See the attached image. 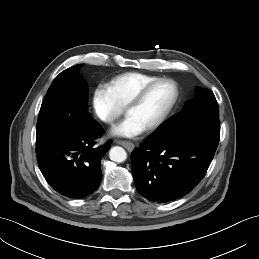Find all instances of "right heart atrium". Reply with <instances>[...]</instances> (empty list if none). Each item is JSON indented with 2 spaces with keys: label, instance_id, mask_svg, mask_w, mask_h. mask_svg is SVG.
Listing matches in <instances>:
<instances>
[{
  "label": "right heart atrium",
  "instance_id": "1",
  "mask_svg": "<svg viewBox=\"0 0 259 259\" xmlns=\"http://www.w3.org/2000/svg\"><path fill=\"white\" fill-rule=\"evenodd\" d=\"M92 106L95 115L102 122L112 124L123 113L105 86L99 85L93 91Z\"/></svg>",
  "mask_w": 259,
  "mask_h": 259
}]
</instances>
